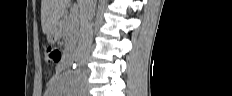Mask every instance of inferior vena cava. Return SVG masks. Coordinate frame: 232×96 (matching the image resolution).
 Segmentation results:
<instances>
[{"label":"inferior vena cava","instance_id":"obj_1","mask_svg":"<svg viewBox=\"0 0 232 96\" xmlns=\"http://www.w3.org/2000/svg\"><path fill=\"white\" fill-rule=\"evenodd\" d=\"M96 0H81L80 2V33L78 56L85 60L91 51L93 39L92 19L95 14Z\"/></svg>","mask_w":232,"mask_h":96}]
</instances>
